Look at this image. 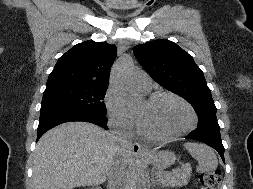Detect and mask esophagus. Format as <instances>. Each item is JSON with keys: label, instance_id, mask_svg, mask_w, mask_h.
Here are the masks:
<instances>
[{"label": "esophagus", "instance_id": "obj_1", "mask_svg": "<svg viewBox=\"0 0 253 189\" xmlns=\"http://www.w3.org/2000/svg\"><path fill=\"white\" fill-rule=\"evenodd\" d=\"M132 153L134 155H145L146 154V151L144 150V148L139 144V143H134L132 145Z\"/></svg>", "mask_w": 253, "mask_h": 189}]
</instances>
